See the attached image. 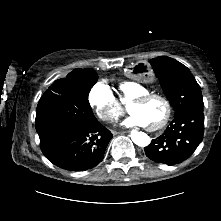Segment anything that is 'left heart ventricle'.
Returning a JSON list of instances; mask_svg holds the SVG:
<instances>
[{
    "instance_id": "obj_1",
    "label": "left heart ventricle",
    "mask_w": 221,
    "mask_h": 221,
    "mask_svg": "<svg viewBox=\"0 0 221 221\" xmlns=\"http://www.w3.org/2000/svg\"><path fill=\"white\" fill-rule=\"evenodd\" d=\"M129 110L132 114L139 115L146 123V126H155L166 113L164 102L158 98H153L143 105H130Z\"/></svg>"
}]
</instances>
